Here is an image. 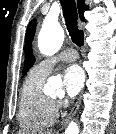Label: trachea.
Wrapping results in <instances>:
<instances>
[{
  "label": "trachea",
  "instance_id": "3493384b",
  "mask_svg": "<svg viewBox=\"0 0 116 134\" xmlns=\"http://www.w3.org/2000/svg\"><path fill=\"white\" fill-rule=\"evenodd\" d=\"M60 3L72 41L77 46H82L84 44V33L77 26L78 13L75 0H60Z\"/></svg>",
  "mask_w": 116,
  "mask_h": 134
}]
</instances>
